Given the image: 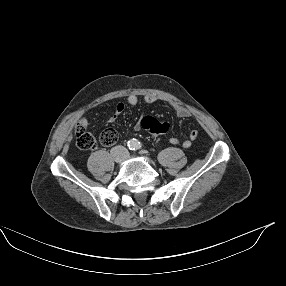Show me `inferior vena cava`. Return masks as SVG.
Segmentation results:
<instances>
[{
	"mask_svg": "<svg viewBox=\"0 0 286 286\" xmlns=\"http://www.w3.org/2000/svg\"><path fill=\"white\" fill-rule=\"evenodd\" d=\"M112 155L118 162L125 161L128 158L129 152L124 146H115L111 150Z\"/></svg>",
	"mask_w": 286,
	"mask_h": 286,
	"instance_id": "inferior-vena-cava-1",
	"label": "inferior vena cava"
}]
</instances>
